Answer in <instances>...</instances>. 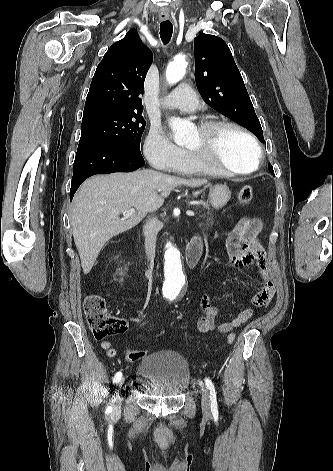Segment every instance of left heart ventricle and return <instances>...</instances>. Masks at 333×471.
I'll return each instance as SVG.
<instances>
[{
	"mask_svg": "<svg viewBox=\"0 0 333 471\" xmlns=\"http://www.w3.org/2000/svg\"><path fill=\"white\" fill-rule=\"evenodd\" d=\"M201 144V135L196 130L188 139L186 147L197 150ZM213 157L216 162L227 168L244 171L254 167L256 152L253 144L244 134L235 129L223 128L214 136Z\"/></svg>",
	"mask_w": 333,
	"mask_h": 471,
	"instance_id": "obj_1",
	"label": "left heart ventricle"
}]
</instances>
